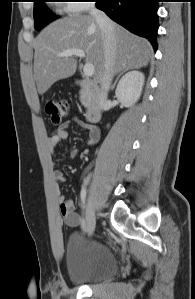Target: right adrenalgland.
Masks as SVG:
<instances>
[{
  "mask_svg": "<svg viewBox=\"0 0 195 299\" xmlns=\"http://www.w3.org/2000/svg\"><path fill=\"white\" fill-rule=\"evenodd\" d=\"M129 70H131V68H126V69H124V70L117 76L115 82L113 83V85H112V87H111V90H113V89L115 88L116 83H117V81L119 80L120 76L123 75L125 72H127V71H129Z\"/></svg>",
  "mask_w": 195,
  "mask_h": 299,
  "instance_id": "obj_1",
  "label": "right adrenal gland"
}]
</instances>
